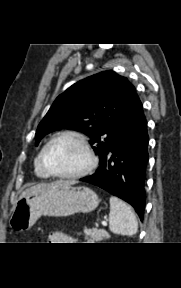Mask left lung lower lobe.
I'll return each mask as SVG.
<instances>
[{"label": "left lung lower lobe", "instance_id": "1", "mask_svg": "<svg viewBox=\"0 0 181 288\" xmlns=\"http://www.w3.org/2000/svg\"><path fill=\"white\" fill-rule=\"evenodd\" d=\"M149 137L138 96L97 171L81 181L91 183L132 205L141 220L145 209V177Z\"/></svg>", "mask_w": 181, "mask_h": 288}]
</instances>
